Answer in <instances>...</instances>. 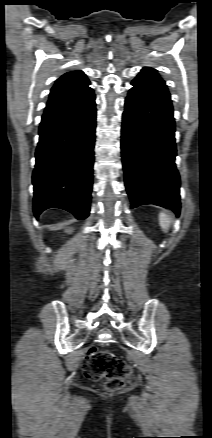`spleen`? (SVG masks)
Instances as JSON below:
<instances>
[{
	"instance_id": "3e777b00",
	"label": "spleen",
	"mask_w": 212,
	"mask_h": 438,
	"mask_svg": "<svg viewBox=\"0 0 212 438\" xmlns=\"http://www.w3.org/2000/svg\"><path fill=\"white\" fill-rule=\"evenodd\" d=\"M159 224L163 230V232H167L169 230L170 227V219L167 216V214H165L164 212H161L159 214Z\"/></svg>"
}]
</instances>
